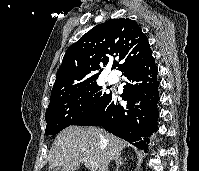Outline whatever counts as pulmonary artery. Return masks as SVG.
Masks as SVG:
<instances>
[{
  "label": "pulmonary artery",
  "mask_w": 199,
  "mask_h": 171,
  "mask_svg": "<svg viewBox=\"0 0 199 171\" xmlns=\"http://www.w3.org/2000/svg\"><path fill=\"white\" fill-rule=\"evenodd\" d=\"M109 82H110V83H114L115 80H114L113 78H109Z\"/></svg>",
  "instance_id": "obj_1"
}]
</instances>
